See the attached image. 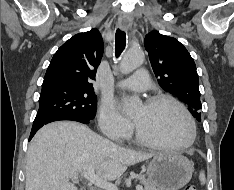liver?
Returning a JSON list of instances; mask_svg holds the SVG:
<instances>
[{
    "label": "liver",
    "mask_w": 234,
    "mask_h": 190,
    "mask_svg": "<svg viewBox=\"0 0 234 190\" xmlns=\"http://www.w3.org/2000/svg\"><path fill=\"white\" fill-rule=\"evenodd\" d=\"M154 155L118 146L80 123H50L29 145L25 190H77L79 173L91 167L98 177L115 180L128 166Z\"/></svg>",
    "instance_id": "1"
}]
</instances>
